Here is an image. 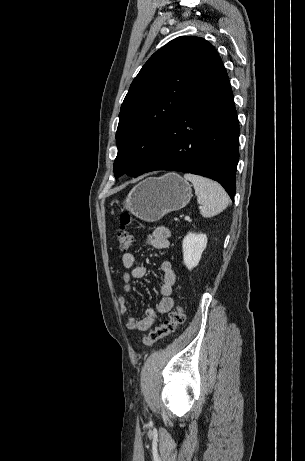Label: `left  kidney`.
Here are the masks:
<instances>
[{
  "instance_id": "left-kidney-1",
  "label": "left kidney",
  "mask_w": 305,
  "mask_h": 461,
  "mask_svg": "<svg viewBox=\"0 0 305 461\" xmlns=\"http://www.w3.org/2000/svg\"><path fill=\"white\" fill-rule=\"evenodd\" d=\"M206 245V234L189 232L185 236L182 242L183 261L188 270H192L198 265Z\"/></svg>"
}]
</instances>
